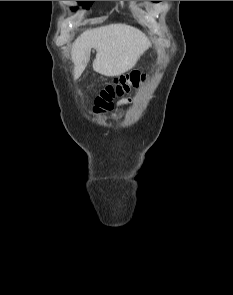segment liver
<instances>
[{"label":"liver","mask_w":233,"mask_h":295,"mask_svg":"<svg viewBox=\"0 0 233 295\" xmlns=\"http://www.w3.org/2000/svg\"><path fill=\"white\" fill-rule=\"evenodd\" d=\"M149 46L145 34L127 24H110L86 30L72 46L74 79H78L85 70L92 48L96 50L94 71L116 77L131 70Z\"/></svg>","instance_id":"6515ba94"}]
</instances>
